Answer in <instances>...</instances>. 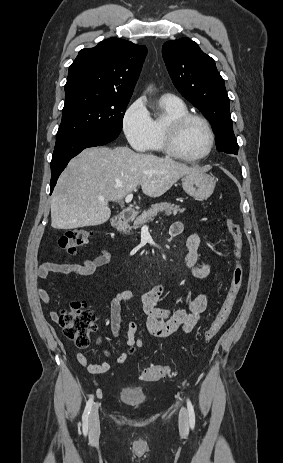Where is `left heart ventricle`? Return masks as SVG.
Wrapping results in <instances>:
<instances>
[{"mask_svg": "<svg viewBox=\"0 0 283 463\" xmlns=\"http://www.w3.org/2000/svg\"><path fill=\"white\" fill-rule=\"evenodd\" d=\"M178 149L189 157L202 155L209 146V135L204 124L191 120L181 130L178 137Z\"/></svg>", "mask_w": 283, "mask_h": 463, "instance_id": "obj_1", "label": "left heart ventricle"}]
</instances>
